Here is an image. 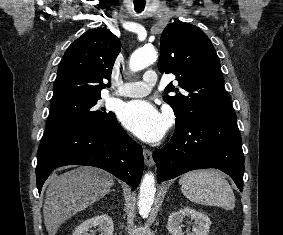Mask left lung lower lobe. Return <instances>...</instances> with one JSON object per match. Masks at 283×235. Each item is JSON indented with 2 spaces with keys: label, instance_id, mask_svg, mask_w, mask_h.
I'll return each mask as SVG.
<instances>
[{
  "label": "left lung lower lobe",
  "instance_id": "left-lung-lower-lobe-1",
  "mask_svg": "<svg viewBox=\"0 0 283 235\" xmlns=\"http://www.w3.org/2000/svg\"><path fill=\"white\" fill-rule=\"evenodd\" d=\"M153 158L158 183L191 170L217 168L243 190L244 156L235 113L177 126L170 142L154 151Z\"/></svg>",
  "mask_w": 283,
  "mask_h": 235
}]
</instances>
